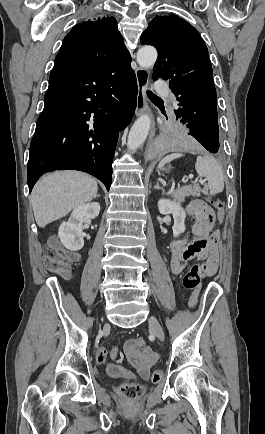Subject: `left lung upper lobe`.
Segmentation results:
<instances>
[{
  "label": "left lung upper lobe",
  "mask_w": 265,
  "mask_h": 434,
  "mask_svg": "<svg viewBox=\"0 0 265 434\" xmlns=\"http://www.w3.org/2000/svg\"><path fill=\"white\" fill-rule=\"evenodd\" d=\"M141 43L158 50L152 78L169 79L179 101L177 119L189 129H218L213 71L199 32L174 14L156 16L142 33Z\"/></svg>",
  "instance_id": "1"
}]
</instances>
